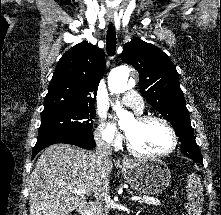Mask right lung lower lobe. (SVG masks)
Returning a JSON list of instances; mask_svg holds the SVG:
<instances>
[{
    "instance_id": "obj_1",
    "label": "right lung lower lobe",
    "mask_w": 221,
    "mask_h": 215,
    "mask_svg": "<svg viewBox=\"0 0 221 215\" xmlns=\"http://www.w3.org/2000/svg\"><path fill=\"white\" fill-rule=\"evenodd\" d=\"M56 143L72 144L85 149H93L96 145L91 131L42 137L37 139L32 158L45 147Z\"/></svg>"
}]
</instances>
